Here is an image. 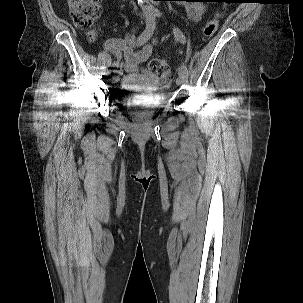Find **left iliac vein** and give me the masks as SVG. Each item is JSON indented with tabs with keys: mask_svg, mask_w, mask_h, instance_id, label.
Returning a JSON list of instances; mask_svg holds the SVG:
<instances>
[{
	"mask_svg": "<svg viewBox=\"0 0 303 303\" xmlns=\"http://www.w3.org/2000/svg\"><path fill=\"white\" fill-rule=\"evenodd\" d=\"M188 81V76L187 74L180 68L179 69V76L177 79V84L178 85H183Z\"/></svg>",
	"mask_w": 303,
	"mask_h": 303,
	"instance_id": "1",
	"label": "left iliac vein"
}]
</instances>
